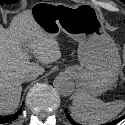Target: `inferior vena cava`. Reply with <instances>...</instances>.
Instances as JSON below:
<instances>
[{
  "mask_svg": "<svg viewBox=\"0 0 125 125\" xmlns=\"http://www.w3.org/2000/svg\"><path fill=\"white\" fill-rule=\"evenodd\" d=\"M38 77L37 73L31 72V73H26L22 76L23 81H31L34 80Z\"/></svg>",
  "mask_w": 125,
  "mask_h": 125,
  "instance_id": "obj_1",
  "label": "inferior vena cava"
}]
</instances>
